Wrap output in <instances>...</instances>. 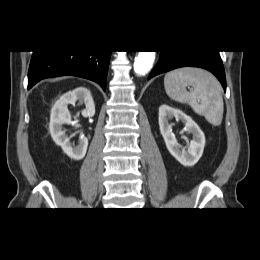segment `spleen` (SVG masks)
<instances>
[{"label": "spleen", "mask_w": 260, "mask_h": 260, "mask_svg": "<svg viewBox=\"0 0 260 260\" xmlns=\"http://www.w3.org/2000/svg\"><path fill=\"white\" fill-rule=\"evenodd\" d=\"M187 86L192 87L191 92L186 90ZM164 87L172 100L190 105L213 126L222 123V89L211 73L191 67L175 69L165 75Z\"/></svg>", "instance_id": "spleen-1"}]
</instances>
